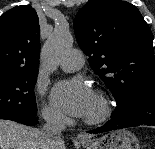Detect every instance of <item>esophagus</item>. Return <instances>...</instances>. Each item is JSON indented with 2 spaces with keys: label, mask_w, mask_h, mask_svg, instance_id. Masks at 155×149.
Masks as SVG:
<instances>
[{
  "label": "esophagus",
  "mask_w": 155,
  "mask_h": 149,
  "mask_svg": "<svg viewBox=\"0 0 155 149\" xmlns=\"http://www.w3.org/2000/svg\"><path fill=\"white\" fill-rule=\"evenodd\" d=\"M77 139H78L79 141H86V140H88V137H87L84 133H79V134L77 135Z\"/></svg>",
  "instance_id": "34e87169"
}]
</instances>
